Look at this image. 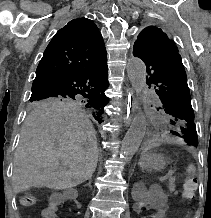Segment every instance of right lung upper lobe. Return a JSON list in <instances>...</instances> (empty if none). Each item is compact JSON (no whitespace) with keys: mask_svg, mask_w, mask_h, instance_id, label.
I'll return each mask as SVG.
<instances>
[{"mask_svg":"<svg viewBox=\"0 0 211 218\" xmlns=\"http://www.w3.org/2000/svg\"><path fill=\"white\" fill-rule=\"evenodd\" d=\"M105 59V44L95 23L84 17L73 19L56 33L47 46L37 67L32 88L36 90Z\"/></svg>","mask_w":211,"mask_h":218,"instance_id":"1","label":"right lung upper lobe"}]
</instances>
